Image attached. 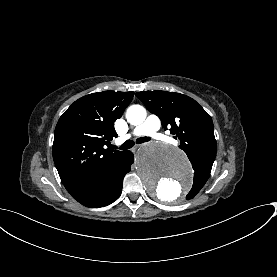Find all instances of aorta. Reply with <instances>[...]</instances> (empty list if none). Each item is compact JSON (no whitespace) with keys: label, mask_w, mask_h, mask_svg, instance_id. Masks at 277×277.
<instances>
[{"label":"aorta","mask_w":277,"mask_h":277,"mask_svg":"<svg viewBox=\"0 0 277 277\" xmlns=\"http://www.w3.org/2000/svg\"><path fill=\"white\" fill-rule=\"evenodd\" d=\"M126 118L130 124L139 125L146 118V110L141 105H132ZM136 169L147 193L165 203L179 200L193 183L184 152L165 143L151 142L142 146L136 159Z\"/></svg>","instance_id":"762f6f07"}]
</instances>
